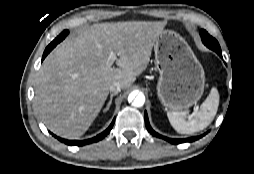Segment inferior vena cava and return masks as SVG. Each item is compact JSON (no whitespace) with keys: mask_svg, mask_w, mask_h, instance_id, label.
<instances>
[{"mask_svg":"<svg viewBox=\"0 0 254 174\" xmlns=\"http://www.w3.org/2000/svg\"><path fill=\"white\" fill-rule=\"evenodd\" d=\"M122 89V86L119 82L117 81H114L113 83H111V85L109 86V90L110 92H113V93H118L120 92Z\"/></svg>","mask_w":254,"mask_h":174,"instance_id":"obj_1","label":"inferior vena cava"}]
</instances>
